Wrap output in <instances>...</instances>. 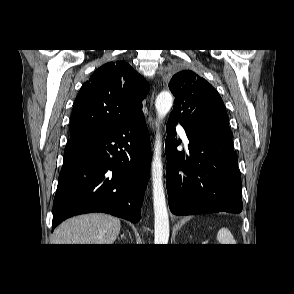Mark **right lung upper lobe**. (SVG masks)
<instances>
[{
  "instance_id": "obj_1",
  "label": "right lung upper lobe",
  "mask_w": 294,
  "mask_h": 294,
  "mask_svg": "<svg viewBox=\"0 0 294 294\" xmlns=\"http://www.w3.org/2000/svg\"><path fill=\"white\" fill-rule=\"evenodd\" d=\"M147 81L125 61L99 67L81 87L72 110L70 138L115 127L142 111Z\"/></svg>"
}]
</instances>
